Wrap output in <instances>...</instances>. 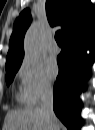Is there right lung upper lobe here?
Listing matches in <instances>:
<instances>
[{
  "instance_id": "right-lung-upper-lobe-1",
  "label": "right lung upper lobe",
  "mask_w": 95,
  "mask_h": 130,
  "mask_svg": "<svg viewBox=\"0 0 95 130\" xmlns=\"http://www.w3.org/2000/svg\"><path fill=\"white\" fill-rule=\"evenodd\" d=\"M51 26L61 25L63 39L75 36L95 24V10L90 0H46ZM31 23L28 9L16 19L9 42L6 70L19 68L23 59L24 34Z\"/></svg>"
}]
</instances>
